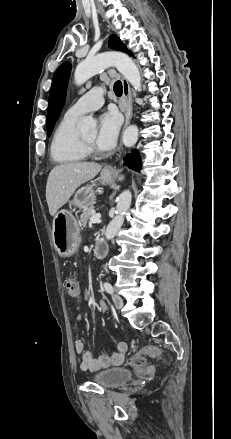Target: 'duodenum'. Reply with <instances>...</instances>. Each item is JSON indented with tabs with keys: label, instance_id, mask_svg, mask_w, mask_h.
<instances>
[{
	"label": "duodenum",
	"instance_id": "410a0bca",
	"mask_svg": "<svg viewBox=\"0 0 231 439\" xmlns=\"http://www.w3.org/2000/svg\"><path fill=\"white\" fill-rule=\"evenodd\" d=\"M108 253V245L104 240H99L96 242L94 249H93V255L97 259H101L105 257Z\"/></svg>",
	"mask_w": 231,
	"mask_h": 439
}]
</instances>
